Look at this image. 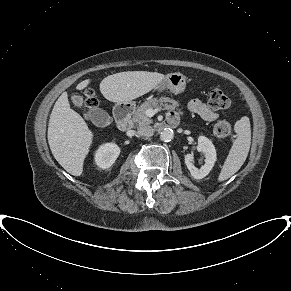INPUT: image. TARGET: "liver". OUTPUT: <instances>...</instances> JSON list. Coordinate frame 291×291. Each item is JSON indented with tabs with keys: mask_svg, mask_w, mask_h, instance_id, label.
<instances>
[{
	"mask_svg": "<svg viewBox=\"0 0 291 291\" xmlns=\"http://www.w3.org/2000/svg\"><path fill=\"white\" fill-rule=\"evenodd\" d=\"M164 78L165 75L157 72H120L105 77L100 83V91L111 102L127 103L150 92ZM90 82L86 79L76 88L83 90ZM92 140V131L71 109L67 92H63L53 107L48 125V143L54 158L68 173L80 176Z\"/></svg>",
	"mask_w": 291,
	"mask_h": 291,
	"instance_id": "6515ba94",
	"label": "liver"
}]
</instances>
